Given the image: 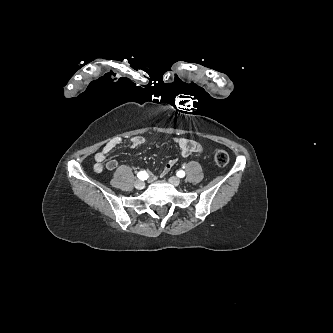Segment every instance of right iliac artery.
<instances>
[{"mask_svg": "<svg viewBox=\"0 0 333 333\" xmlns=\"http://www.w3.org/2000/svg\"><path fill=\"white\" fill-rule=\"evenodd\" d=\"M137 176L140 180H146L148 178V174L145 171H140Z\"/></svg>", "mask_w": 333, "mask_h": 333, "instance_id": "1", "label": "right iliac artery"}]
</instances>
